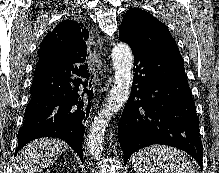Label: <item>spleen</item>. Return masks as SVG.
Masks as SVG:
<instances>
[{"label":"spleen","mask_w":219,"mask_h":173,"mask_svg":"<svg viewBox=\"0 0 219 173\" xmlns=\"http://www.w3.org/2000/svg\"><path fill=\"white\" fill-rule=\"evenodd\" d=\"M132 165L136 173H196L182 151L162 145L139 150Z\"/></svg>","instance_id":"spleen-1"}]
</instances>
